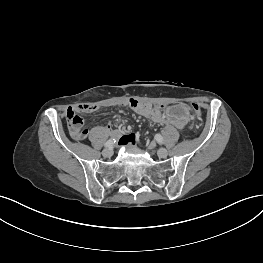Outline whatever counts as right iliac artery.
Instances as JSON below:
<instances>
[{
	"mask_svg": "<svg viewBox=\"0 0 263 263\" xmlns=\"http://www.w3.org/2000/svg\"><path fill=\"white\" fill-rule=\"evenodd\" d=\"M115 142H116L115 139H109V140L104 144V146H105L106 148H110V147L113 146V144H114Z\"/></svg>",
	"mask_w": 263,
	"mask_h": 263,
	"instance_id": "1",
	"label": "right iliac artery"
}]
</instances>
